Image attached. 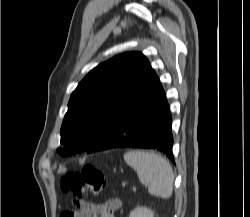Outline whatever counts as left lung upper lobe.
Instances as JSON below:
<instances>
[{
	"instance_id": "5c2ea615",
	"label": "left lung upper lobe",
	"mask_w": 250,
	"mask_h": 217,
	"mask_svg": "<svg viewBox=\"0 0 250 217\" xmlns=\"http://www.w3.org/2000/svg\"><path fill=\"white\" fill-rule=\"evenodd\" d=\"M152 71L138 52H127L94 68L72 93L61 126V155L87 151L104 133L141 81Z\"/></svg>"
}]
</instances>
